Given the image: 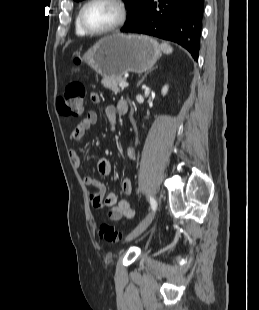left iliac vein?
Segmentation results:
<instances>
[{
	"label": "left iliac vein",
	"mask_w": 259,
	"mask_h": 310,
	"mask_svg": "<svg viewBox=\"0 0 259 310\" xmlns=\"http://www.w3.org/2000/svg\"><path fill=\"white\" fill-rule=\"evenodd\" d=\"M156 210L149 213L145 219L126 237V241H131L142 234L154 219Z\"/></svg>",
	"instance_id": "4c4485c4"
}]
</instances>
